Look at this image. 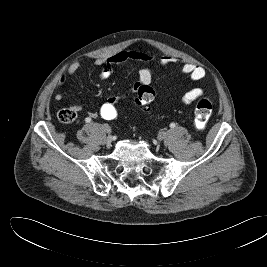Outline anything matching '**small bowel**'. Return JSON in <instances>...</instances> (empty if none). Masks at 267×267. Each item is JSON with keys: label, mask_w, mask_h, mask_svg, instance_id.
<instances>
[{"label": "small bowel", "mask_w": 267, "mask_h": 267, "mask_svg": "<svg viewBox=\"0 0 267 267\" xmlns=\"http://www.w3.org/2000/svg\"><path fill=\"white\" fill-rule=\"evenodd\" d=\"M152 56L142 52V51H137V50H130V51H121L111 58H109L106 61L99 60L97 62V65L101 66V72H100V77L102 79H107L110 78L114 71L115 68L124 62H127L129 60H141V61H148L151 60ZM174 58L172 56H164L159 59L158 61V66L160 67H168L171 63L174 62ZM78 69V63H73L69 66V68L66 71V75H63L61 79L58 82V85L61 86L64 84L66 80V76H73ZM182 73L186 76H188L192 81H200L201 79L204 78L205 76V71L202 67L194 64H185L182 68ZM152 76H153V70L151 67H144L139 71L138 75V82L128 90H125L115 96H112L115 100L119 101L123 99L124 97H127L130 93L135 92L136 88L140 85H148L152 81ZM203 94V89L196 87L188 91L184 97H183V102L185 104H190L197 98H199ZM64 98V95L62 92H57L54 95V99L56 101H61ZM83 100H77L73 107L76 110L81 109L83 105ZM97 113L95 111L90 112V116L95 117Z\"/></svg>", "instance_id": "1"}]
</instances>
